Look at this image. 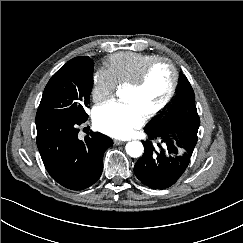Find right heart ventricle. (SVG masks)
I'll return each mask as SVG.
<instances>
[{"label":"right heart ventricle","mask_w":243,"mask_h":243,"mask_svg":"<svg viewBox=\"0 0 243 243\" xmlns=\"http://www.w3.org/2000/svg\"><path fill=\"white\" fill-rule=\"evenodd\" d=\"M157 55L138 52H119L109 56L105 66L117 85H126L135 79L143 67Z\"/></svg>","instance_id":"1"}]
</instances>
